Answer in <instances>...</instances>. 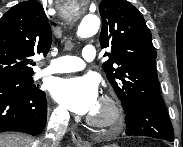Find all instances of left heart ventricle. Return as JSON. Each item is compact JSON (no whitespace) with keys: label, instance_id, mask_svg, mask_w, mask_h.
Instances as JSON below:
<instances>
[{"label":"left heart ventricle","instance_id":"1","mask_svg":"<svg viewBox=\"0 0 183 147\" xmlns=\"http://www.w3.org/2000/svg\"><path fill=\"white\" fill-rule=\"evenodd\" d=\"M91 114L98 116V117H105L107 114V111L103 105L98 103L97 106L94 108V110L91 112Z\"/></svg>","mask_w":183,"mask_h":147}]
</instances>
